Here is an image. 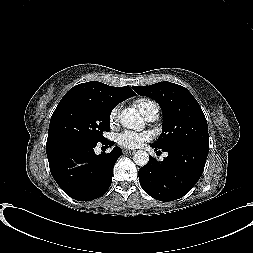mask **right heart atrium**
<instances>
[{"label": "right heart atrium", "instance_id": "right-heart-atrium-1", "mask_svg": "<svg viewBox=\"0 0 253 253\" xmlns=\"http://www.w3.org/2000/svg\"><path fill=\"white\" fill-rule=\"evenodd\" d=\"M119 106H116L112 109L110 113V122L113 124L117 121L119 115Z\"/></svg>", "mask_w": 253, "mask_h": 253}]
</instances>
